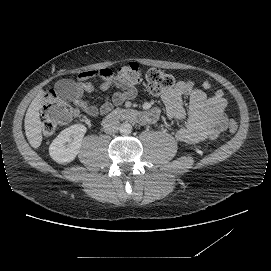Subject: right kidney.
I'll list each match as a JSON object with an SVG mask.
<instances>
[{"instance_id": "right-kidney-1", "label": "right kidney", "mask_w": 271, "mask_h": 271, "mask_svg": "<svg viewBox=\"0 0 271 271\" xmlns=\"http://www.w3.org/2000/svg\"><path fill=\"white\" fill-rule=\"evenodd\" d=\"M85 133L86 127L82 124H75L63 130L50 145L51 157L60 164L73 160Z\"/></svg>"}]
</instances>
